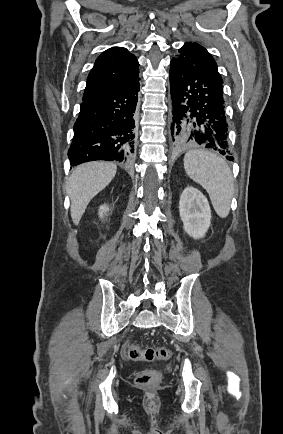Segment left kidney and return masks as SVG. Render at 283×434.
I'll return each instance as SVG.
<instances>
[{"label":"left kidney","mask_w":283,"mask_h":434,"mask_svg":"<svg viewBox=\"0 0 283 434\" xmlns=\"http://www.w3.org/2000/svg\"><path fill=\"white\" fill-rule=\"evenodd\" d=\"M179 213L185 232L194 239L203 238L210 226L211 210L207 198L188 186L180 196Z\"/></svg>","instance_id":"obj_1"}]
</instances>
